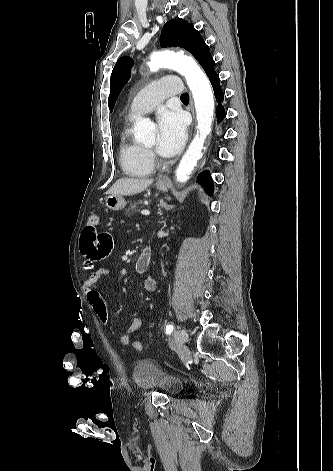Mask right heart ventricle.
<instances>
[{"instance_id":"right-heart-ventricle-1","label":"right heart ventricle","mask_w":333,"mask_h":471,"mask_svg":"<svg viewBox=\"0 0 333 471\" xmlns=\"http://www.w3.org/2000/svg\"><path fill=\"white\" fill-rule=\"evenodd\" d=\"M119 160L123 171L129 176H148L154 170L149 152L142 144L131 138L127 128L120 134Z\"/></svg>"}]
</instances>
